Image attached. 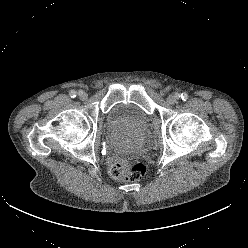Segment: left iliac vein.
<instances>
[{
	"instance_id": "obj_1",
	"label": "left iliac vein",
	"mask_w": 248,
	"mask_h": 248,
	"mask_svg": "<svg viewBox=\"0 0 248 248\" xmlns=\"http://www.w3.org/2000/svg\"><path fill=\"white\" fill-rule=\"evenodd\" d=\"M176 100H177V96H175V95H169V96L167 97V102H168L169 104H174V103L176 102Z\"/></svg>"
}]
</instances>
